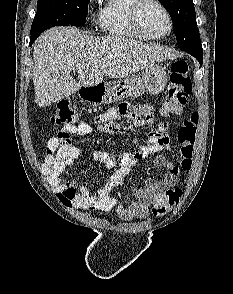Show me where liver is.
<instances>
[{"label":"liver","instance_id":"obj_1","mask_svg":"<svg viewBox=\"0 0 233 294\" xmlns=\"http://www.w3.org/2000/svg\"><path fill=\"white\" fill-rule=\"evenodd\" d=\"M35 102L46 107L105 77L122 78L173 57L156 44L118 36L90 37L73 27L45 31L33 46ZM79 70L78 82L71 71Z\"/></svg>","mask_w":233,"mask_h":294}]
</instances>
